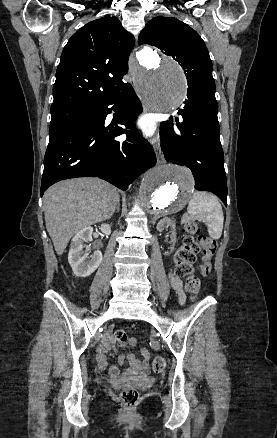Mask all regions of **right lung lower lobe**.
<instances>
[{
  "label": "right lung lower lobe",
  "mask_w": 277,
  "mask_h": 438,
  "mask_svg": "<svg viewBox=\"0 0 277 438\" xmlns=\"http://www.w3.org/2000/svg\"><path fill=\"white\" fill-rule=\"evenodd\" d=\"M110 105L119 112L118 123L131 131L105 125ZM141 111L140 100L127 83L121 91L93 104L86 115L50 134L41 196L52 184L75 177H99L126 190L141 173L156 164L152 146L131 124ZM123 133L127 134L125 141L114 140Z\"/></svg>",
  "instance_id": "right-lung-lower-lobe-1"
}]
</instances>
